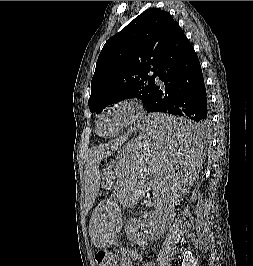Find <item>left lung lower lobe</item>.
I'll return each mask as SVG.
<instances>
[{"instance_id":"0a47b994","label":"left lung lower lobe","mask_w":253,"mask_h":266,"mask_svg":"<svg viewBox=\"0 0 253 266\" xmlns=\"http://www.w3.org/2000/svg\"><path fill=\"white\" fill-rule=\"evenodd\" d=\"M156 75L162 85H154L147 112L169 113L184 120L175 125L159 124L152 131L182 142L204 136L211 119L202 70L193 46L178 23L159 58Z\"/></svg>"}]
</instances>
